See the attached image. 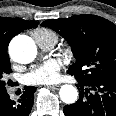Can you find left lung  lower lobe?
I'll return each instance as SVG.
<instances>
[{"instance_id": "0a47b994", "label": "left lung lower lobe", "mask_w": 116, "mask_h": 116, "mask_svg": "<svg viewBox=\"0 0 116 116\" xmlns=\"http://www.w3.org/2000/svg\"><path fill=\"white\" fill-rule=\"evenodd\" d=\"M78 81L79 99L64 107L65 116H116V77Z\"/></svg>"}]
</instances>
